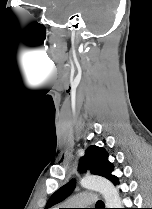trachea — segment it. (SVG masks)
<instances>
[{"instance_id": "3493384b", "label": "trachea", "mask_w": 152, "mask_h": 209, "mask_svg": "<svg viewBox=\"0 0 152 209\" xmlns=\"http://www.w3.org/2000/svg\"><path fill=\"white\" fill-rule=\"evenodd\" d=\"M102 206H104V203H103V201H98L97 203H96V207L97 208H100V207H102Z\"/></svg>"}]
</instances>
